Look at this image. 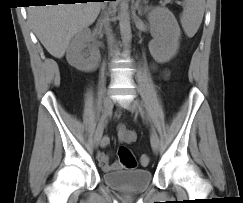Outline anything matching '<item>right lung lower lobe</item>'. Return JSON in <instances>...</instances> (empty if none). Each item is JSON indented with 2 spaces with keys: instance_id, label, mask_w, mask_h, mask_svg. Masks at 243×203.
Wrapping results in <instances>:
<instances>
[{
  "instance_id": "98d812e1",
  "label": "right lung lower lobe",
  "mask_w": 243,
  "mask_h": 203,
  "mask_svg": "<svg viewBox=\"0 0 243 203\" xmlns=\"http://www.w3.org/2000/svg\"><path fill=\"white\" fill-rule=\"evenodd\" d=\"M62 1H64L62 3H74V2H72L73 0H62ZM97 1H104V0H97ZM110 1H113V0H110Z\"/></svg>"
}]
</instances>
